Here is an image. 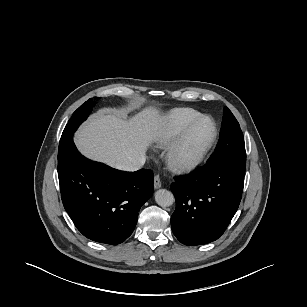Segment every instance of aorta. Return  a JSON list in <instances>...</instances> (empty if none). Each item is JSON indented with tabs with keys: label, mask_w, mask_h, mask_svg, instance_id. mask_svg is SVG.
Wrapping results in <instances>:
<instances>
[{
	"label": "aorta",
	"mask_w": 307,
	"mask_h": 307,
	"mask_svg": "<svg viewBox=\"0 0 307 307\" xmlns=\"http://www.w3.org/2000/svg\"><path fill=\"white\" fill-rule=\"evenodd\" d=\"M155 201L161 207H168L174 203V195L166 189H159L155 193Z\"/></svg>",
	"instance_id": "obj_1"
}]
</instances>
